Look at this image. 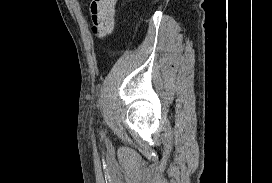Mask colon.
<instances>
[{
	"mask_svg": "<svg viewBox=\"0 0 272 183\" xmlns=\"http://www.w3.org/2000/svg\"><path fill=\"white\" fill-rule=\"evenodd\" d=\"M118 0H93L90 6L92 31L103 38L114 28Z\"/></svg>",
	"mask_w": 272,
	"mask_h": 183,
	"instance_id": "1",
	"label": "colon"
}]
</instances>
